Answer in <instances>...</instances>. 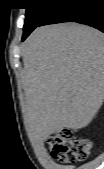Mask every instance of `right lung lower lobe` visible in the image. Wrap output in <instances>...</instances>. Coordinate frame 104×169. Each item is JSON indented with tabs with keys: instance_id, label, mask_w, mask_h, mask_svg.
<instances>
[{
	"instance_id": "1",
	"label": "right lung lower lobe",
	"mask_w": 104,
	"mask_h": 169,
	"mask_svg": "<svg viewBox=\"0 0 104 169\" xmlns=\"http://www.w3.org/2000/svg\"><path fill=\"white\" fill-rule=\"evenodd\" d=\"M55 2L57 6L39 26L77 22L104 32V0H55ZM30 33L23 36L22 41Z\"/></svg>"
}]
</instances>
